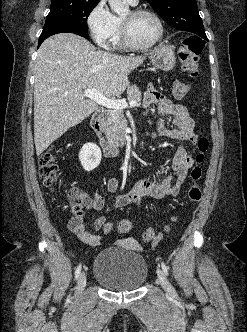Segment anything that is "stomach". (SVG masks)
<instances>
[{
    "label": "stomach",
    "mask_w": 247,
    "mask_h": 332,
    "mask_svg": "<svg viewBox=\"0 0 247 332\" xmlns=\"http://www.w3.org/2000/svg\"><path fill=\"white\" fill-rule=\"evenodd\" d=\"M150 59L157 69L170 71L176 63L174 47L160 46L151 53Z\"/></svg>",
    "instance_id": "1"
}]
</instances>
